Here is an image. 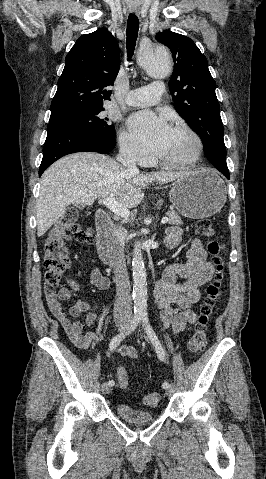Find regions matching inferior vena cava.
Segmentation results:
<instances>
[{"label": "inferior vena cava", "instance_id": "602c4592", "mask_svg": "<svg viewBox=\"0 0 266 479\" xmlns=\"http://www.w3.org/2000/svg\"><path fill=\"white\" fill-rule=\"evenodd\" d=\"M117 160L127 168L130 173L137 174V155L128 145H121ZM124 230L114 224L109 227V243L114 269V282L116 284V297L114 304V318L116 320H129L131 310V287L124 257Z\"/></svg>", "mask_w": 266, "mask_h": 479}]
</instances>
